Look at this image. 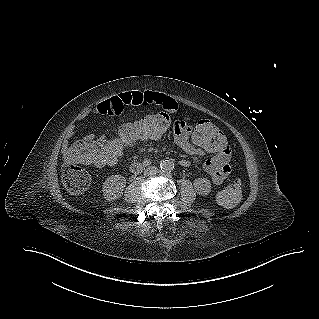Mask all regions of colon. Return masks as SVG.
<instances>
[{"mask_svg":"<svg viewBox=\"0 0 319 319\" xmlns=\"http://www.w3.org/2000/svg\"><path fill=\"white\" fill-rule=\"evenodd\" d=\"M182 121V120H177ZM169 124L156 113L141 115L137 120L123 126L114 137L99 139L94 134H87L65 150L67 164L62 170V183L72 195L84 193L90 184L88 172L82 164L94 163L96 166H114L125 154L132 153L143 145L161 139ZM190 140L200 149L215 153L223 149L226 142L224 131L213 121L199 119L192 123ZM242 196V182L234 180L224 186L217 195V201L226 208L238 204Z\"/></svg>","mask_w":319,"mask_h":319,"instance_id":"1","label":"colon"}]
</instances>
